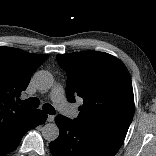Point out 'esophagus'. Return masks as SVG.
<instances>
[{"mask_svg":"<svg viewBox=\"0 0 156 156\" xmlns=\"http://www.w3.org/2000/svg\"><path fill=\"white\" fill-rule=\"evenodd\" d=\"M54 119H55V116L54 115H48V117H47V121L48 122H53Z\"/></svg>","mask_w":156,"mask_h":156,"instance_id":"obj_1","label":"esophagus"}]
</instances>
